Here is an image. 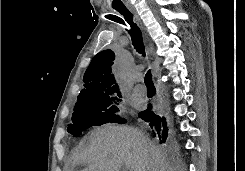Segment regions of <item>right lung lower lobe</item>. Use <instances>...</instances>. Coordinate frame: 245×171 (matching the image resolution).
<instances>
[{
    "instance_id": "1",
    "label": "right lung lower lobe",
    "mask_w": 245,
    "mask_h": 171,
    "mask_svg": "<svg viewBox=\"0 0 245 171\" xmlns=\"http://www.w3.org/2000/svg\"><path fill=\"white\" fill-rule=\"evenodd\" d=\"M151 104L148 108L139 113V118L148 123L152 134L160 143L169 144L171 142L170 121L163 114H156L152 110Z\"/></svg>"
}]
</instances>
